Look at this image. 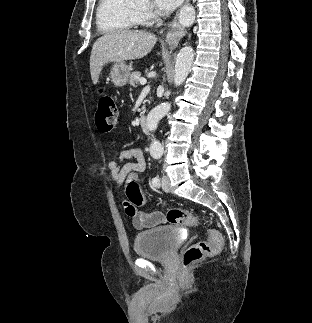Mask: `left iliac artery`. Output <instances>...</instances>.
<instances>
[{"label":"left iliac artery","mask_w":312,"mask_h":323,"mask_svg":"<svg viewBox=\"0 0 312 323\" xmlns=\"http://www.w3.org/2000/svg\"><path fill=\"white\" fill-rule=\"evenodd\" d=\"M152 184H153L154 187H159L160 186V178L158 176H155L152 179Z\"/></svg>","instance_id":"obj_1"}]
</instances>
